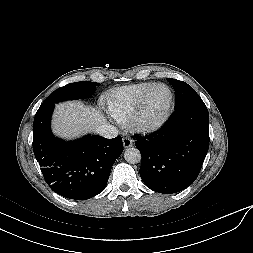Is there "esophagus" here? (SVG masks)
<instances>
[{"label":"esophagus","instance_id":"obj_1","mask_svg":"<svg viewBox=\"0 0 253 253\" xmlns=\"http://www.w3.org/2000/svg\"><path fill=\"white\" fill-rule=\"evenodd\" d=\"M132 144H133V140L131 138H128V137H124L123 138V146H124V148L131 147Z\"/></svg>","mask_w":253,"mask_h":253}]
</instances>
